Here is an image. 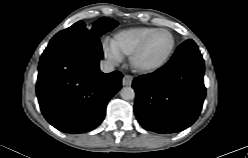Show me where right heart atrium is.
Returning <instances> with one entry per match:
<instances>
[{"label": "right heart atrium", "mask_w": 248, "mask_h": 158, "mask_svg": "<svg viewBox=\"0 0 248 158\" xmlns=\"http://www.w3.org/2000/svg\"><path fill=\"white\" fill-rule=\"evenodd\" d=\"M102 51L104 56L113 63H119L122 61V55L115 49L111 41L104 40L102 43Z\"/></svg>", "instance_id": "right-heart-atrium-1"}]
</instances>
